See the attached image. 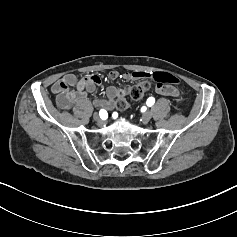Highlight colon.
<instances>
[{"instance_id": "5ec220e1", "label": "colon", "mask_w": 237, "mask_h": 237, "mask_svg": "<svg viewBox=\"0 0 237 237\" xmlns=\"http://www.w3.org/2000/svg\"><path fill=\"white\" fill-rule=\"evenodd\" d=\"M149 78H152L153 80L161 84L179 83V79L170 73L167 72L151 73L146 79H143L139 81L137 84L129 87L126 96H123L117 100L116 108L118 110L123 111L129 107L130 104L129 99L138 100L142 98L151 87Z\"/></svg>"}]
</instances>
